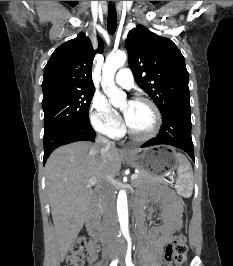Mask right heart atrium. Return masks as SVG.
<instances>
[{
  "label": "right heart atrium",
  "instance_id": "1",
  "mask_svg": "<svg viewBox=\"0 0 233 266\" xmlns=\"http://www.w3.org/2000/svg\"><path fill=\"white\" fill-rule=\"evenodd\" d=\"M89 119L94 130L103 136L118 138L123 132L118 113L101 94H95L91 100Z\"/></svg>",
  "mask_w": 233,
  "mask_h": 266
}]
</instances>
